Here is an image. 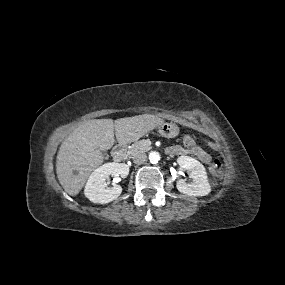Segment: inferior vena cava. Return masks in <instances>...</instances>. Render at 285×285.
Segmentation results:
<instances>
[{
	"label": "inferior vena cava",
	"instance_id": "inferior-vena-cava-1",
	"mask_svg": "<svg viewBox=\"0 0 285 285\" xmlns=\"http://www.w3.org/2000/svg\"><path fill=\"white\" fill-rule=\"evenodd\" d=\"M146 158H147V156L145 153H137L133 157V162L135 164H141V163L146 161Z\"/></svg>",
	"mask_w": 285,
	"mask_h": 285
}]
</instances>
